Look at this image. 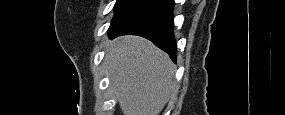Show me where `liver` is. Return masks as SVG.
Instances as JSON below:
<instances>
[{"label": "liver", "instance_id": "6515ba94", "mask_svg": "<svg viewBox=\"0 0 285 115\" xmlns=\"http://www.w3.org/2000/svg\"><path fill=\"white\" fill-rule=\"evenodd\" d=\"M104 64L124 115H159L174 88V65L152 42L122 36L107 45Z\"/></svg>", "mask_w": 285, "mask_h": 115}]
</instances>
